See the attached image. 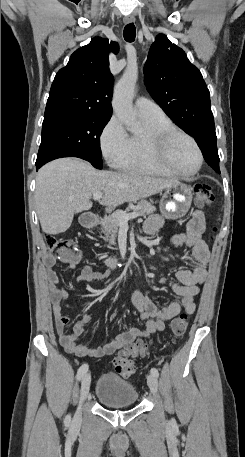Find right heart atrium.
<instances>
[{"label":"right heart atrium","mask_w":245,"mask_h":457,"mask_svg":"<svg viewBox=\"0 0 245 457\" xmlns=\"http://www.w3.org/2000/svg\"><path fill=\"white\" fill-rule=\"evenodd\" d=\"M130 139L131 137L121 120L116 115H112L100 135V144L104 156L109 161L116 162L128 151Z\"/></svg>","instance_id":"right-heart-atrium-1"}]
</instances>
